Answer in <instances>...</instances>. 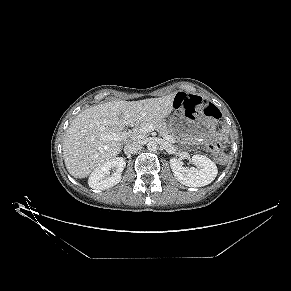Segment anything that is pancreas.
Masks as SVG:
<instances>
[{
    "label": "pancreas",
    "instance_id": "cf45deb5",
    "mask_svg": "<svg viewBox=\"0 0 291 291\" xmlns=\"http://www.w3.org/2000/svg\"><path fill=\"white\" fill-rule=\"evenodd\" d=\"M147 124H152L155 127V130H157L161 135L162 134L170 135V130H169L168 126H167V123L163 119L147 121V122H143V123L139 124L138 130L135 131L134 134L137 137L139 135H141L139 133V129L142 128L143 126L147 125Z\"/></svg>",
    "mask_w": 291,
    "mask_h": 291
}]
</instances>
